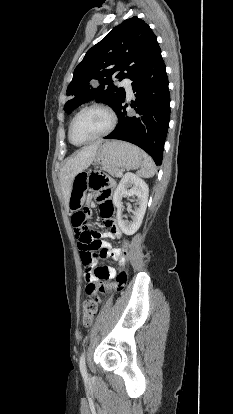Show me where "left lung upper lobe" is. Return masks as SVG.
Instances as JSON below:
<instances>
[{
    "label": "left lung upper lobe",
    "instance_id": "left-lung-upper-lobe-1",
    "mask_svg": "<svg viewBox=\"0 0 233 414\" xmlns=\"http://www.w3.org/2000/svg\"><path fill=\"white\" fill-rule=\"evenodd\" d=\"M159 50L157 38L148 24L136 16L123 21L90 48L75 68L67 88L70 100L64 106L65 112L70 113L93 98L115 111L125 97V90L115 86L112 77L120 81L123 76L132 79Z\"/></svg>",
    "mask_w": 233,
    "mask_h": 414
}]
</instances>
